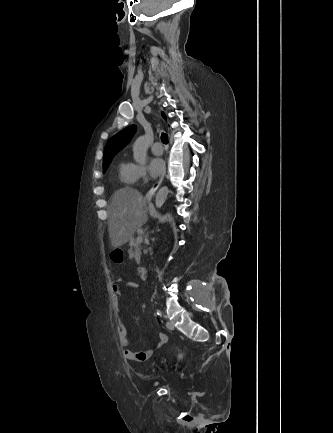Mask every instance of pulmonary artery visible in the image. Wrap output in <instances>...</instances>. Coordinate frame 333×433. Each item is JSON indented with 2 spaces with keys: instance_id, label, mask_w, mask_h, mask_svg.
I'll use <instances>...</instances> for the list:
<instances>
[{
  "instance_id": "pulmonary-artery-1",
  "label": "pulmonary artery",
  "mask_w": 333,
  "mask_h": 433,
  "mask_svg": "<svg viewBox=\"0 0 333 433\" xmlns=\"http://www.w3.org/2000/svg\"><path fill=\"white\" fill-rule=\"evenodd\" d=\"M152 153L156 156H160L163 154V146L160 142H156L153 146H152Z\"/></svg>"
}]
</instances>
